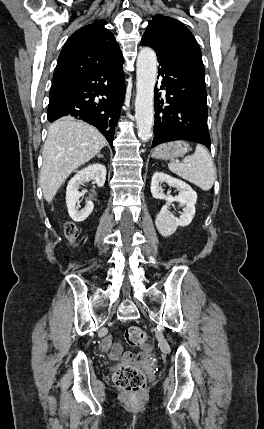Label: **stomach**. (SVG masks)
<instances>
[{
  "label": "stomach",
  "mask_w": 264,
  "mask_h": 429,
  "mask_svg": "<svg viewBox=\"0 0 264 429\" xmlns=\"http://www.w3.org/2000/svg\"><path fill=\"white\" fill-rule=\"evenodd\" d=\"M189 149V144L187 142L178 140L157 146L152 155L157 159H174L184 156Z\"/></svg>",
  "instance_id": "0dacf381"
}]
</instances>
